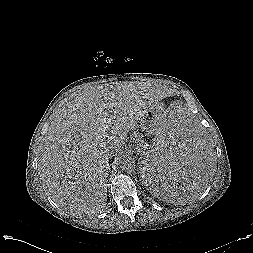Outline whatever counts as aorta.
Instances as JSON below:
<instances>
[{"label":"aorta","mask_w":253,"mask_h":253,"mask_svg":"<svg viewBox=\"0 0 253 253\" xmlns=\"http://www.w3.org/2000/svg\"><path fill=\"white\" fill-rule=\"evenodd\" d=\"M117 163L121 170L130 171L135 168V161L130 155H122L117 159Z\"/></svg>","instance_id":"aorta-1"}]
</instances>
